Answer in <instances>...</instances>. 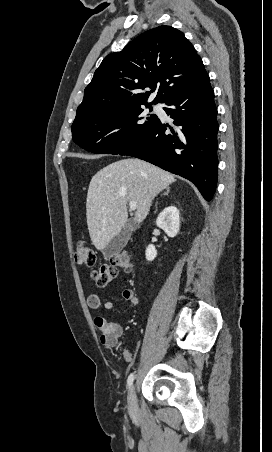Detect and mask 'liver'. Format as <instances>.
<instances>
[{
    "label": "liver",
    "instance_id": "liver-1",
    "mask_svg": "<svg viewBox=\"0 0 272 452\" xmlns=\"http://www.w3.org/2000/svg\"><path fill=\"white\" fill-rule=\"evenodd\" d=\"M175 181V177L137 158L113 162L91 179L86 201L87 225L93 245L103 248L128 222L127 204L136 203L135 222L149 213L152 200Z\"/></svg>",
    "mask_w": 272,
    "mask_h": 452
}]
</instances>
